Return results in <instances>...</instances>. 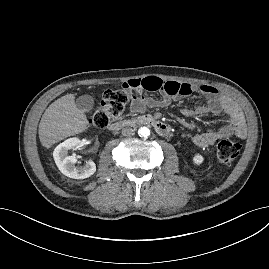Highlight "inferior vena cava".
Instances as JSON below:
<instances>
[{"mask_svg": "<svg viewBox=\"0 0 269 269\" xmlns=\"http://www.w3.org/2000/svg\"><path fill=\"white\" fill-rule=\"evenodd\" d=\"M135 134V130L131 127H125L122 129V135L123 136H133Z\"/></svg>", "mask_w": 269, "mask_h": 269, "instance_id": "obj_1", "label": "inferior vena cava"}]
</instances>
